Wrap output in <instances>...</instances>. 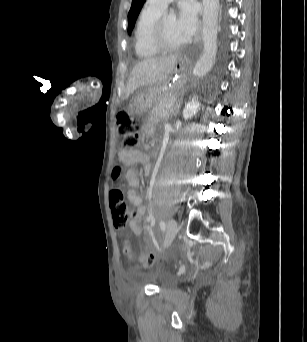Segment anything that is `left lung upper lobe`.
I'll list each match as a JSON object with an SVG mask.
<instances>
[{
  "label": "left lung upper lobe",
  "mask_w": 307,
  "mask_h": 342,
  "mask_svg": "<svg viewBox=\"0 0 307 342\" xmlns=\"http://www.w3.org/2000/svg\"><path fill=\"white\" fill-rule=\"evenodd\" d=\"M145 0H132V6L128 14V33L130 34L134 28L138 14L144 4Z\"/></svg>",
  "instance_id": "5c2ea615"
}]
</instances>
